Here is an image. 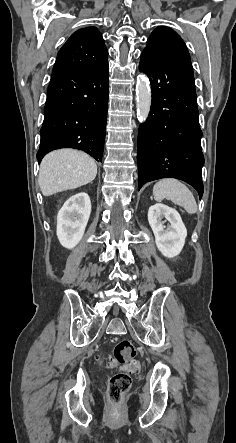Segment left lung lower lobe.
Masks as SVG:
<instances>
[{
	"label": "left lung lower lobe",
	"mask_w": 236,
	"mask_h": 443,
	"mask_svg": "<svg viewBox=\"0 0 236 443\" xmlns=\"http://www.w3.org/2000/svg\"><path fill=\"white\" fill-rule=\"evenodd\" d=\"M139 70L150 79L152 103L138 133V189L149 181L177 178L201 198L204 156L191 61L142 52Z\"/></svg>",
	"instance_id": "0a47b994"
}]
</instances>
